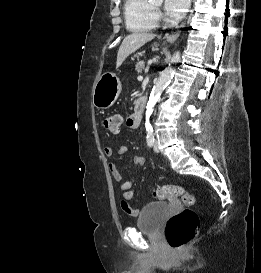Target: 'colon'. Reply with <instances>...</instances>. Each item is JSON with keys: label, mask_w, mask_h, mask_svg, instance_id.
I'll use <instances>...</instances> for the list:
<instances>
[{"label": "colon", "mask_w": 261, "mask_h": 273, "mask_svg": "<svg viewBox=\"0 0 261 273\" xmlns=\"http://www.w3.org/2000/svg\"><path fill=\"white\" fill-rule=\"evenodd\" d=\"M121 121L120 115H110L104 119V125L108 130L116 132L120 129ZM153 195L157 199L181 196L187 207L194 206L196 202L195 196L181 185H164L154 190ZM199 226L198 215L189 208L183 209L167 222L165 229L167 243L172 249L181 251L197 236Z\"/></svg>", "instance_id": "5ec220e1"}]
</instances>
